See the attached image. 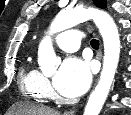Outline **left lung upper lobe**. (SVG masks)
<instances>
[{"label": "left lung upper lobe", "mask_w": 131, "mask_h": 115, "mask_svg": "<svg viewBox=\"0 0 131 115\" xmlns=\"http://www.w3.org/2000/svg\"><path fill=\"white\" fill-rule=\"evenodd\" d=\"M94 3L99 8H105L106 7V1L105 0H94Z\"/></svg>", "instance_id": "5c2ea615"}]
</instances>
